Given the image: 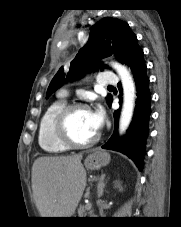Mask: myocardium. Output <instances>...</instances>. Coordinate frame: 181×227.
I'll return each instance as SVG.
<instances>
[{
    "label": "myocardium",
    "instance_id": "myocardium-1",
    "mask_svg": "<svg viewBox=\"0 0 181 227\" xmlns=\"http://www.w3.org/2000/svg\"><path fill=\"white\" fill-rule=\"evenodd\" d=\"M76 110H90L89 107L81 102L66 104L56 115L54 120V132L59 141L68 147L88 148L98 142L100 133L97 132L92 138L86 141L74 139L69 131V119Z\"/></svg>",
    "mask_w": 181,
    "mask_h": 227
}]
</instances>
